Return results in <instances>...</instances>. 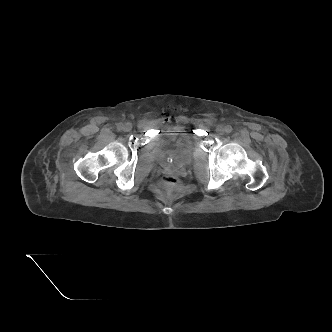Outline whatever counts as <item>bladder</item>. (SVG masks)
Segmentation results:
<instances>
[{"label":"bladder","instance_id":"31cf9c89","mask_svg":"<svg viewBox=\"0 0 332 332\" xmlns=\"http://www.w3.org/2000/svg\"><path fill=\"white\" fill-rule=\"evenodd\" d=\"M171 139L174 141L173 144L155 137L150 141L149 148L155 153L160 164H166L167 159H172L176 164L185 165L195 148L194 135L187 131L179 136L172 135Z\"/></svg>","mask_w":332,"mask_h":332}]
</instances>
